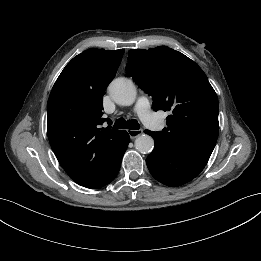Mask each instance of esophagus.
<instances>
[{
    "instance_id": "esophagus-1",
    "label": "esophagus",
    "mask_w": 261,
    "mask_h": 261,
    "mask_svg": "<svg viewBox=\"0 0 261 261\" xmlns=\"http://www.w3.org/2000/svg\"><path fill=\"white\" fill-rule=\"evenodd\" d=\"M131 139H135L136 137L140 136L143 133L142 129L137 130H128L127 131Z\"/></svg>"
}]
</instances>
